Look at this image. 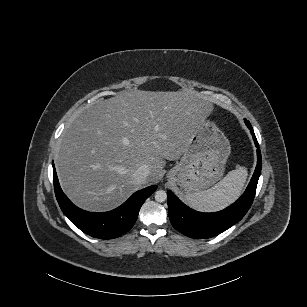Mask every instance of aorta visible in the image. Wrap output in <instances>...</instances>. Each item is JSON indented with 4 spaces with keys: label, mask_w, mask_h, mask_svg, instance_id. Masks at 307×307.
<instances>
[{
    "label": "aorta",
    "mask_w": 307,
    "mask_h": 307,
    "mask_svg": "<svg viewBox=\"0 0 307 307\" xmlns=\"http://www.w3.org/2000/svg\"><path fill=\"white\" fill-rule=\"evenodd\" d=\"M167 199V193L164 190H158L155 193V200L157 202H164Z\"/></svg>",
    "instance_id": "aorta-1"
}]
</instances>
